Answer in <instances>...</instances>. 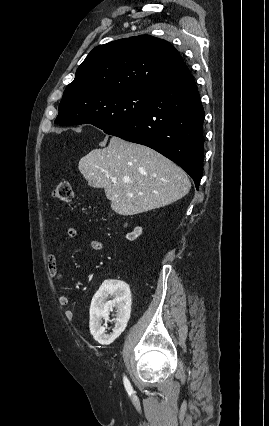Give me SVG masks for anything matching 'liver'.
<instances>
[{"mask_svg": "<svg viewBox=\"0 0 269 426\" xmlns=\"http://www.w3.org/2000/svg\"><path fill=\"white\" fill-rule=\"evenodd\" d=\"M79 171L90 186L104 188L112 210L124 216L172 204L191 188L187 174L175 163L147 146L115 136L106 148L82 157Z\"/></svg>", "mask_w": 269, "mask_h": 426, "instance_id": "6515ba94", "label": "liver"}]
</instances>
